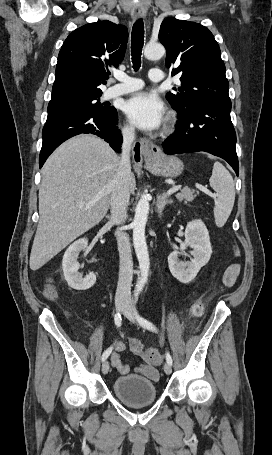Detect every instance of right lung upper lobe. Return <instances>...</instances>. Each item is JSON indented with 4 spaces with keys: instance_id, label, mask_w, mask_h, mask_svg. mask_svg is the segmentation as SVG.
Returning <instances> with one entry per match:
<instances>
[{
    "instance_id": "obj_1",
    "label": "right lung upper lobe",
    "mask_w": 272,
    "mask_h": 455,
    "mask_svg": "<svg viewBox=\"0 0 272 455\" xmlns=\"http://www.w3.org/2000/svg\"><path fill=\"white\" fill-rule=\"evenodd\" d=\"M128 30L108 20L74 30L58 55L51 101L102 94L99 88L124 58Z\"/></svg>"
}]
</instances>
